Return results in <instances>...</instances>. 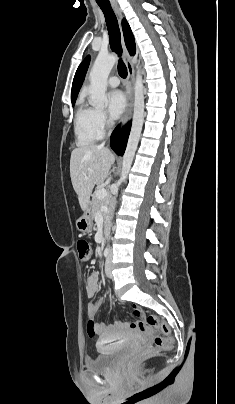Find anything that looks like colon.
<instances>
[{
  "instance_id": "obj_1",
  "label": "colon",
  "mask_w": 235,
  "mask_h": 404,
  "mask_svg": "<svg viewBox=\"0 0 235 404\" xmlns=\"http://www.w3.org/2000/svg\"><path fill=\"white\" fill-rule=\"evenodd\" d=\"M77 251L79 254V258L81 261H87L92 255V249L90 244L85 240H79L77 242ZM134 314L139 318L136 321H133L130 326L136 328L140 331L149 330L152 333H156L157 331H161L165 334V336L155 335V349L166 351L170 349L172 345V338L169 334L168 325L162 321L157 315L149 314L143 316L141 310L139 308H134ZM90 335H93L89 332Z\"/></svg>"
}]
</instances>
